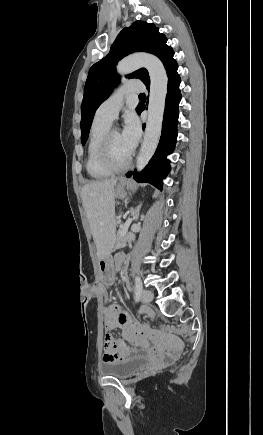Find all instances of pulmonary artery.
<instances>
[{
	"label": "pulmonary artery",
	"instance_id": "obj_1",
	"mask_svg": "<svg viewBox=\"0 0 263 435\" xmlns=\"http://www.w3.org/2000/svg\"><path fill=\"white\" fill-rule=\"evenodd\" d=\"M144 90L145 86L139 80H132L124 84L99 106L95 117L111 123L122 108L125 95L129 93H141Z\"/></svg>",
	"mask_w": 263,
	"mask_h": 435
}]
</instances>
